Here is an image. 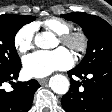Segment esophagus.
<instances>
[{"label":"esophagus","mask_w":112,"mask_h":112,"mask_svg":"<svg viewBox=\"0 0 112 112\" xmlns=\"http://www.w3.org/2000/svg\"><path fill=\"white\" fill-rule=\"evenodd\" d=\"M38 82L40 83V85H45L48 82V78L39 79Z\"/></svg>","instance_id":"esophagus-1"}]
</instances>
